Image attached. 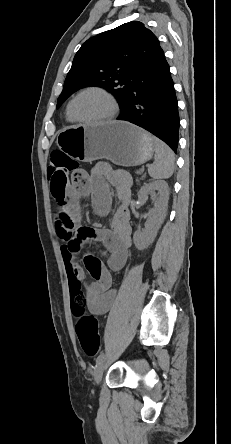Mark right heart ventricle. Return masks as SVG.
<instances>
[{"instance_id": "e07e8e85", "label": "right heart ventricle", "mask_w": 231, "mask_h": 444, "mask_svg": "<svg viewBox=\"0 0 231 444\" xmlns=\"http://www.w3.org/2000/svg\"><path fill=\"white\" fill-rule=\"evenodd\" d=\"M66 118L69 122H74L75 120H73V118L71 117L70 113H69V104L66 108Z\"/></svg>"}]
</instances>
